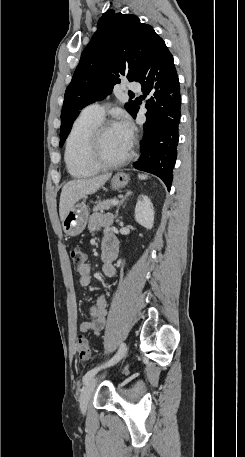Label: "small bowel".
Here are the masks:
<instances>
[{"mask_svg":"<svg viewBox=\"0 0 245 457\" xmlns=\"http://www.w3.org/2000/svg\"><path fill=\"white\" fill-rule=\"evenodd\" d=\"M113 217L106 213H94L88 221V228L92 232H99L102 235V261L103 273L108 277L117 275V268L113 264L118 254L117 239L113 234L111 225ZM79 283L86 287L91 283L90 265L84 263L79 269ZM90 319L78 324V329L82 333H93L99 335L103 330L107 316V299L105 295H100L95 303L89 308Z\"/></svg>","mask_w":245,"mask_h":457,"instance_id":"1","label":"small bowel"}]
</instances>
